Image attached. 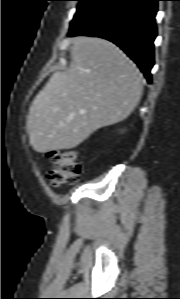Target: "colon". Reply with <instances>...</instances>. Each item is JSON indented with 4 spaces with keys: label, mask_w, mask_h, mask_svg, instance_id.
<instances>
[{
    "label": "colon",
    "mask_w": 180,
    "mask_h": 299,
    "mask_svg": "<svg viewBox=\"0 0 180 299\" xmlns=\"http://www.w3.org/2000/svg\"><path fill=\"white\" fill-rule=\"evenodd\" d=\"M52 161V167L48 172V180L51 186L73 185L82 175V165L77 160L72 150H53L48 153Z\"/></svg>",
    "instance_id": "colon-1"
}]
</instances>
